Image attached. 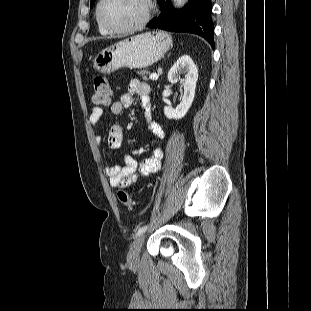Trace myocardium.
<instances>
[{"label":"myocardium","instance_id":"f54148a6","mask_svg":"<svg viewBox=\"0 0 311 311\" xmlns=\"http://www.w3.org/2000/svg\"><path fill=\"white\" fill-rule=\"evenodd\" d=\"M105 1L106 0H99L97 7H96V18H97V21L110 33H115V34L133 33V32H136L142 29L144 26H146L150 20L152 8H153L152 1L144 0L145 11H144L142 18L138 22L125 28L114 27L110 25L109 23H107L102 17V6L105 3Z\"/></svg>","mask_w":311,"mask_h":311}]
</instances>
